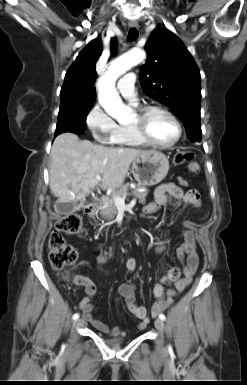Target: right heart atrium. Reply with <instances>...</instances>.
Masks as SVG:
<instances>
[{
  "mask_svg": "<svg viewBox=\"0 0 247 385\" xmlns=\"http://www.w3.org/2000/svg\"><path fill=\"white\" fill-rule=\"evenodd\" d=\"M86 124L95 140L100 143L114 144L118 124L96 103L86 116Z\"/></svg>",
  "mask_w": 247,
  "mask_h": 385,
  "instance_id": "1",
  "label": "right heart atrium"
}]
</instances>
